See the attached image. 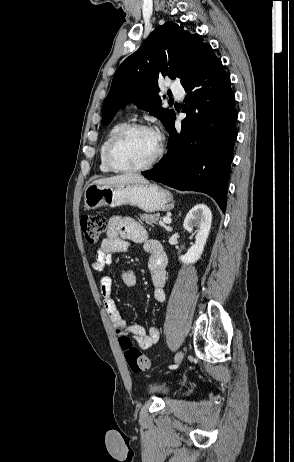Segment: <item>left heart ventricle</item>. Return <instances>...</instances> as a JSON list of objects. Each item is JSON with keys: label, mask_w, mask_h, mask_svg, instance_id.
<instances>
[{"label": "left heart ventricle", "mask_w": 294, "mask_h": 462, "mask_svg": "<svg viewBox=\"0 0 294 462\" xmlns=\"http://www.w3.org/2000/svg\"><path fill=\"white\" fill-rule=\"evenodd\" d=\"M158 139L155 133L134 130L126 134L114 150L115 162L123 167H138L147 163L157 152Z\"/></svg>", "instance_id": "1"}]
</instances>
